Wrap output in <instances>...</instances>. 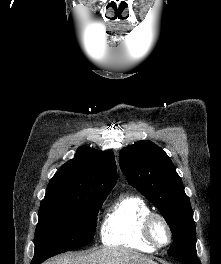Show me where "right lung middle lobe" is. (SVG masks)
Here are the masks:
<instances>
[{"instance_id":"1","label":"right lung middle lobe","mask_w":221,"mask_h":264,"mask_svg":"<svg viewBox=\"0 0 221 264\" xmlns=\"http://www.w3.org/2000/svg\"><path fill=\"white\" fill-rule=\"evenodd\" d=\"M108 194L75 200L44 198L35 231L33 260L79 248L94 238L97 214Z\"/></svg>"}]
</instances>
